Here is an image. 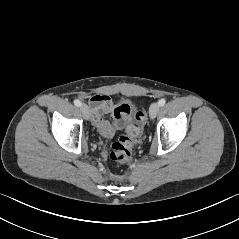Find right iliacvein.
Here are the masks:
<instances>
[{"label":"right iliac vein","instance_id":"63e3f726","mask_svg":"<svg viewBox=\"0 0 239 239\" xmlns=\"http://www.w3.org/2000/svg\"><path fill=\"white\" fill-rule=\"evenodd\" d=\"M80 108H81L83 117H84L86 120H89V119H90V110H89V107H88L86 104H82V105L80 106Z\"/></svg>","mask_w":239,"mask_h":239}]
</instances>
